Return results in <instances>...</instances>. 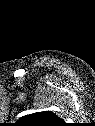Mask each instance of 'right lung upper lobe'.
<instances>
[{
    "label": "right lung upper lobe",
    "instance_id": "cb5924a9",
    "mask_svg": "<svg viewBox=\"0 0 95 126\" xmlns=\"http://www.w3.org/2000/svg\"><path fill=\"white\" fill-rule=\"evenodd\" d=\"M23 126H64V122L51 111L26 115L19 120Z\"/></svg>",
    "mask_w": 95,
    "mask_h": 126
}]
</instances>
